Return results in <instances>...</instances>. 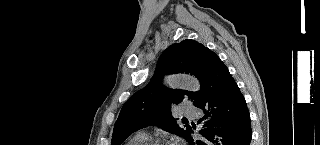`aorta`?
<instances>
[{"instance_id": "aorta-1", "label": "aorta", "mask_w": 320, "mask_h": 145, "mask_svg": "<svg viewBox=\"0 0 320 145\" xmlns=\"http://www.w3.org/2000/svg\"><path fill=\"white\" fill-rule=\"evenodd\" d=\"M166 84L172 88H186L192 91L200 89L199 81L189 75H172L166 79Z\"/></svg>"}]
</instances>
